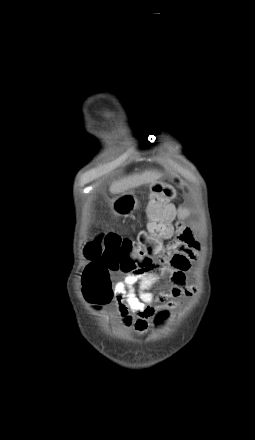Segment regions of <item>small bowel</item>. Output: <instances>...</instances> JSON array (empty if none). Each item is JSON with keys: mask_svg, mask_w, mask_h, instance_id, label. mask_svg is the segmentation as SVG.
Instances as JSON below:
<instances>
[{"mask_svg": "<svg viewBox=\"0 0 255 440\" xmlns=\"http://www.w3.org/2000/svg\"><path fill=\"white\" fill-rule=\"evenodd\" d=\"M189 213V209L179 208L178 217L184 219ZM198 257L199 245L192 228L179 224L176 239L167 245V255L162 260L129 272L110 289L123 325L144 335L159 307L174 309L180 306L182 298L195 295L197 287L187 283V273ZM166 276L169 277L170 287L152 293L150 289Z\"/></svg>", "mask_w": 255, "mask_h": 440, "instance_id": "c3829d8e", "label": "small bowel"}]
</instances>
